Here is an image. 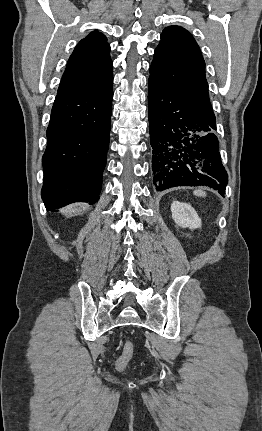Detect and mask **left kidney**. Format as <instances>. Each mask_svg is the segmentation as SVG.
<instances>
[{
	"mask_svg": "<svg viewBox=\"0 0 262 431\" xmlns=\"http://www.w3.org/2000/svg\"><path fill=\"white\" fill-rule=\"evenodd\" d=\"M172 218L182 228L196 229L201 227V220L196 211L186 203L174 201L171 205Z\"/></svg>",
	"mask_w": 262,
	"mask_h": 431,
	"instance_id": "obj_1",
	"label": "left kidney"
}]
</instances>
